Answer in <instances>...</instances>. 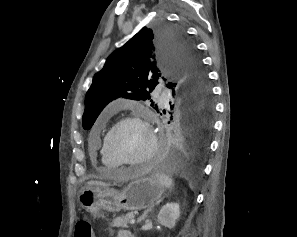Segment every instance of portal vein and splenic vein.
Here are the masks:
<instances>
[{"label": "portal vein and splenic vein", "instance_id": "18ae733b", "mask_svg": "<svg viewBox=\"0 0 297 237\" xmlns=\"http://www.w3.org/2000/svg\"><path fill=\"white\" fill-rule=\"evenodd\" d=\"M130 224H134L135 223V219L132 218L130 221H129Z\"/></svg>", "mask_w": 297, "mask_h": 237}]
</instances>
